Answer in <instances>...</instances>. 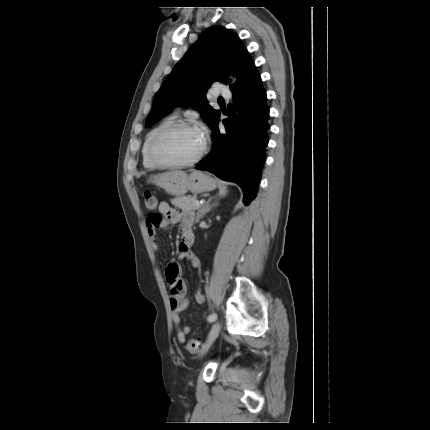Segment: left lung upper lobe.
I'll return each instance as SVG.
<instances>
[{"label":"left lung upper lobe","mask_w":430,"mask_h":430,"mask_svg":"<svg viewBox=\"0 0 430 430\" xmlns=\"http://www.w3.org/2000/svg\"><path fill=\"white\" fill-rule=\"evenodd\" d=\"M226 69L236 76L238 83L257 73L246 47L234 32L222 26L210 27L175 65L156 93L147 126L175 106L189 103L200 110L209 124L219 111L208 105L206 93L214 81L227 83Z\"/></svg>","instance_id":"5c2ea615"}]
</instances>
